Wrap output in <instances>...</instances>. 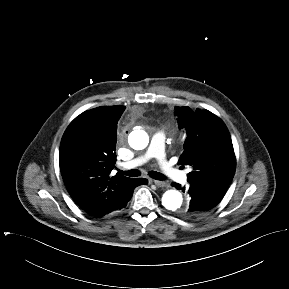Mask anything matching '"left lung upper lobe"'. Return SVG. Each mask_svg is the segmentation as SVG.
<instances>
[{
	"label": "left lung upper lobe",
	"instance_id": "obj_1",
	"mask_svg": "<svg viewBox=\"0 0 289 289\" xmlns=\"http://www.w3.org/2000/svg\"><path fill=\"white\" fill-rule=\"evenodd\" d=\"M179 127L187 138L179 164L189 165V183L204 184L225 191L233 179L236 159L231 137L223 121L210 111L175 107Z\"/></svg>",
	"mask_w": 289,
	"mask_h": 289
}]
</instances>
